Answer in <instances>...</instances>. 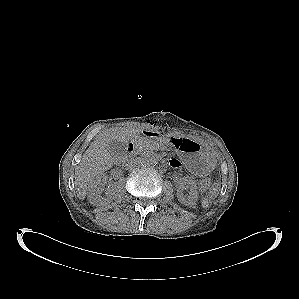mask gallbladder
I'll use <instances>...</instances> for the list:
<instances>
[{"mask_svg": "<svg viewBox=\"0 0 299 299\" xmlns=\"http://www.w3.org/2000/svg\"><path fill=\"white\" fill-rule=\"evenodd\" d=\"M109 152L122 156L126 152V145L119 141H112L109 145Z\"/></svg>", "mask_w": 299, "mask_h": 299, "instance_id": "gallbladder-1", "label": "gallbladder"}]
</instances>
